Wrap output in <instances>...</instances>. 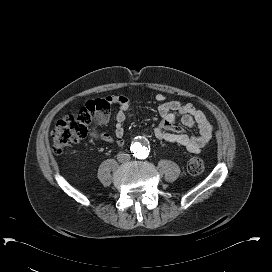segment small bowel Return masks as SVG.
<instances>
[{"instance_id":"small-bowel-1","label":"small bowel","mask_w":272,"mask_h":272,"mask_svg":"<svg viewBox=\"0 0 272 272\" xmlns=\"http://www.w3.org/2000/svg\"><path fill=\"white\" fill-rule=\"evenodd\" d=\"M155 98L160 102L158 111L162 122L151 129V134L157 140L181 145L190 153H200L208 144L213 131V126L207 120L205 114L193 104H181L177 100L167 101L166 95L163 93L156 94ZM107 100L111 104L118 106L115 115L114 137L108 133H93L92 136L96 140L120 147L125 143L123 123L126 119V111L130 106V102L122 95H110L107 97ZM178 122L186 127L196 125L200 135L194 137L183 132L179 127H176Z\"/></svg>"}]
</instances>
